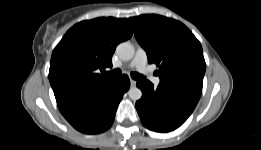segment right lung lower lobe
Returning <instances> with one entry per match:
<instances>
[{"instance_id":"obj_1","label":"right lung lower lobe","mask_w":261,"mask_h":150,"mask_svg":"<svg viewBox=\"0 0 261 150\" xmlns=\"http://www.w3.org/2000/svg\"><path fill=\"white\" fill-rule=\"evenodd\" d=\"M129 87V78L123 75L110 88L77 104L63 116L80 132L101 133L112 125L119 102Z\"/></svg>"}]
</instances>
